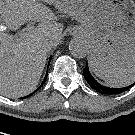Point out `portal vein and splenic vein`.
I'll return each mask as SVG.
<instances>
[{"mask_svg":"<svg viewBox=\"0 0 135 135\" xmlns=\"http://www.w3.org/2000/svg\"><path fill=\"white\" fill-rule=\"evenodd\" d=\"M33 28H34V25H33L32 23L27 24L25 30H23V32L20 33V35H23L25 32L30 31V30H32Z\"/></svg>","mask_w":135,"mask_h":135,"instance_id":"18ae733b","label":"portal vein and splenic vein"}]
</instances>
